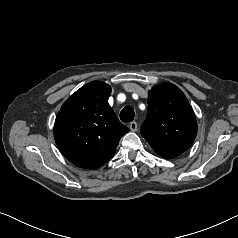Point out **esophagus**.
I'll use <instances>...</instances> for the list:
<instances>
[{"label": "esophagus", "instance_id": "esophagus-1", "mask_svg": "<svg viewBox=\"0 0 238 238\" xmlns=\"http://www.w3.org/2000/svg\"><path fill=\"white\" fill-rule=\"evenodd\" d=\"M137 127L138 126H137V123L135 121H133L129 124V128H130L131 131H136Z\"/></svg>", "mask_w": 238, "mask_h": 238}]
</instances>
